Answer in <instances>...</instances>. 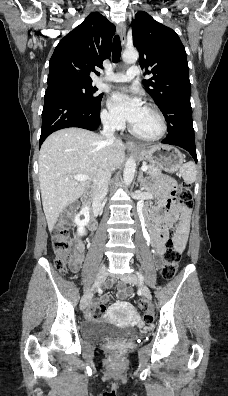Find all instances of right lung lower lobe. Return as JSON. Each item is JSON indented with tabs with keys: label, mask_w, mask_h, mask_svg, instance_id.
Here are the masks:
<instances>
[{
	"label": "right lung lower lobe",
	"mask_w": 228,
	"mask_h": 396,
	"mask_svg": "<svg viewBox=\"0 0 228 396\" xmlns=\"http://www.w3.org/2000/svg\"><path fill=\"white\" fill-rule=\"evenodd\" d=\"M99 125L100 104L87 106L66 94H48L45 95L39 145L54 131L68 127L95 130Z\"/></svg>",
	"instance_id": "right-lung-lower-lobe-1"
}]
</instances>
